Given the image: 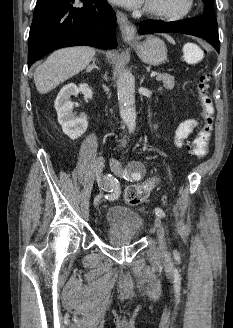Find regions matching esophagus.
I'll return each mask as SVG.
<instances>
[{"instance_id": "1", "label": "esophagus", "mask_w": 233, "mask_h": 328, "mask_svg": "<svg viewBox=\"0 0 233 328\" xmlns=\"http://www.w3.org/2000/svg\"><path fill=\"white\" fill-rule=\"evenodd\" d=\"M116 16L122 38L126 41L134 40L136 38L135 25L131 23L127 15L121 11H117Z\"/></svg>"}]
</instances>
